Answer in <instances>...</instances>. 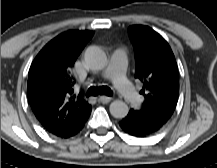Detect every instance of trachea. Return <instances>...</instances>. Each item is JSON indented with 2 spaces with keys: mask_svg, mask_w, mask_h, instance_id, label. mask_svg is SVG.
Masks as SVG:
<instances>
[{
  "mask_svg": "<svg viewBox=\"0 0 217 168\" xmlns=\"http://www.w3.org/2000/svg\"><path fill=\"white\" fill-rule=\"evenodd\" d=\"M112 90L107 86H92L87 90L86 96L107 95L112 96Z\"/></svg>",
  "mask_w": 217,
  "mask_h": 168,
  "instance_id": "3493384b",
  "label": "trachea"
}]
</instances>
